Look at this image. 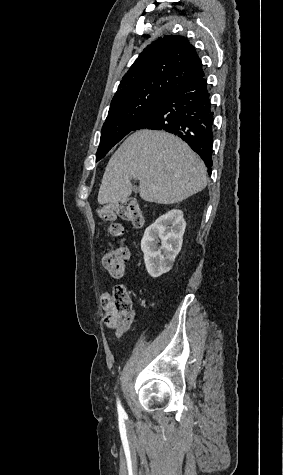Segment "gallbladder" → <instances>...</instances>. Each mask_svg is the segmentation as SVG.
<instances>
[{"label":"gallbladder","instance_id":"1","mask_svg":"<svg viewBox=\"0 0 283 475\" xmlns=\"http://www.w3.org/2000/svg\"><path fill=\"white\" fill-rule=\"evenodd\" d=\"M134 192H139L138 188H136V186H134Z\"/></svg>","mask_w":283,"mask_h":475}]
</instances>
